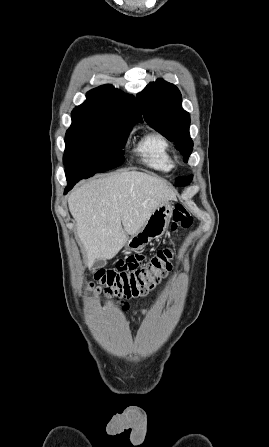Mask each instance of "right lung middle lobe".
I'll use <instances>...</instances> for the list:
<instances>
[{
    "mask_svg": "<svg viewBox=\"0 0 269 447\" xmlns=\"http://www.w3.org/2000/svg\"><path fill=\"white\" fill-rule=\"evenodd\" d=\"M135 124L72 119L65 137V169L78 168L81 175H86L120 166L124 162L122 148Z\"/></svg>",
    "mask_w": 269,
    "mask_h": 447,
    "instance_id": "dd1d6c3e",
    "label": "right lung middle lobe"
}]
</instances>
